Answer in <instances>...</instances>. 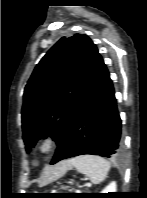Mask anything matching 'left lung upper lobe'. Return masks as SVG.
Segmentation results:
<instances>
[{
	"label": "left lung upper lobe",
	"mask_w": 147,
	"mask_h": 198,
	"mask_svg": "<svg viewBox=\"0 0 147 198\" xmlns=\"http://www.w3.org/2000/svg\"><path fill=\"white\" fill-rule=\"evenodd\" d=\"M98 49L86 35L62 37L35 67L24 90L23 140L27 151L49 135L67 132L96 68Z\"/></svg>",
	"instance_id": "1"
}]
</instances>
